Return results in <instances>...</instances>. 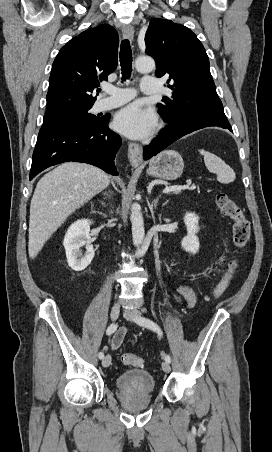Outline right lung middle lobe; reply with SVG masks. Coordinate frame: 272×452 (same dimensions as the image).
<instances>
[{"label": "right lung middle lobe", "mask_w": 272, "mask_h": 452, "mask_svg": "<svg viewBox=\"0 0 272 452\" xmlns=\"http://www.w3.org/2000/svg\"><path fill=\"white\" fill-rule=\"evenodd\" d=\"M92 106L77 108L69 111L48 114L44 116V121L49 120H72L79 123H92L97 121L99 118L95 115L89 113Z\"/></svg>", "instance_id": "1"}]
</instances>
